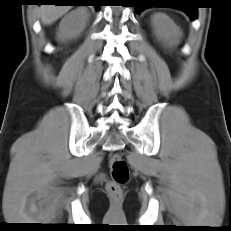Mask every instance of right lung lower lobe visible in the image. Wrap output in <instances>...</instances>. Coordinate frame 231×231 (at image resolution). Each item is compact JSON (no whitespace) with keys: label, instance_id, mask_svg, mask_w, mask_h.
<instances>
[{"label":"right lung lower lobe","instance_id":"1","mask_svg":"<svg viewBox=\"0 0 231 231\" xmlns=\"http://www.w3.org/2000/svg\"><path fill=\"white\" fill-rule=\"evenodd\" d=\"M38 2L41 3H55L56 5H78L79 0H38ZM90 5V4H88ZM96 9L99 8V6L94 5Z\"/></svg>","mask_w":231,"mask_h":231}]
</instances>
